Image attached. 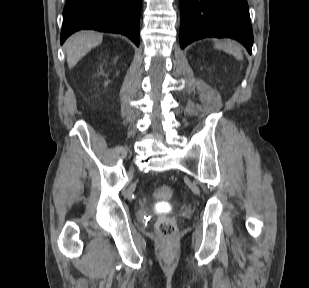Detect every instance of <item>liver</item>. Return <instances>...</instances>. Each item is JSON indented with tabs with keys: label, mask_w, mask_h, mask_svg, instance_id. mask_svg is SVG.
I'll return each mask as SVG.
<instances>
[{
	"label": "liver",
	"mask_w": 309,
	"mask_h": 288,
	"mask_svg": "<svg viewBox=\"0 0 309 288\" xmlns=\"http://www.w3.org/2000/svg\"><path fill=\"white\" fill-rule=\"evenodd\" d=\"M103 36L93 31H81L72 35L65 43L67 64L73 68L92 48L101 44Z\"/></svg>",
	"instance_id": "obj_1"
}]
</instances>
